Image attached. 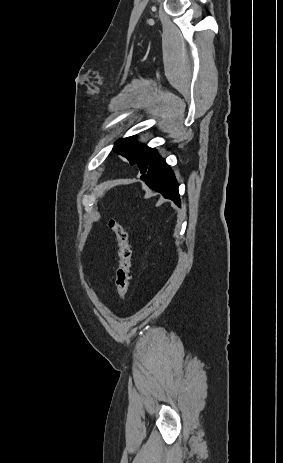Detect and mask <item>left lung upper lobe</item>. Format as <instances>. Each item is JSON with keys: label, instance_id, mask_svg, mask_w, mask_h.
Wrapping results in <instances>:
<instances>
[{"label": "left lung upper lobe", "instance_id": "left-lung-upper-lobe-1", "mask_svg": "<svg viewBox=\"0 0 283 463\" xmlns=\"http://www.w3.org/2000/svg\"><path fill=\"white\" fill-rule=\"evenodd\" d=\"M149 147L139 144L134 136L119 140L113 147V151L128 159L131 165L136 164Z\"/></svg>", "mask_w": 283, "mask_h": 463}]
</instances>
